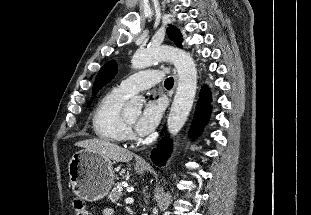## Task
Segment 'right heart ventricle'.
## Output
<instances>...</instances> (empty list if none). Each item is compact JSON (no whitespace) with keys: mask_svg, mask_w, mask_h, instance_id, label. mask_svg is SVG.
<instances>
[{"mask_svg":"<svg viewBox=\"0 0 311 215\" xmlns=\"http://www.w3.org/2000/svg\"><path fill=\"white\" fill-rule=\"evenodd\" d=\"M129 95L117 87L106 93L98 102L92 117L93 130L100 139L120 143L127 137L122 106Z\"/></svg>","mask_w":311,"mask_h":215,"instance_id":"e07e8e85","label":"right heart ventricle"}]
</instances>
